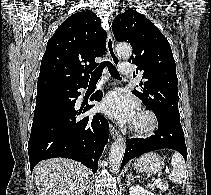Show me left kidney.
<instances>
[{
	"mask_svg": "<svg viewBox=\"0 0 211 195\" xmlns=\"http://www.w3.org/2000/svg\"><path fill=\"white\" fill-rule=\"evenodd\" d=\"M129 195H155V194L149 192L147 189H144L140 185H135L129 188Z\"/></svg>",
	"mask_w": 211,
	"mask_h": 195,
	"instance_id": "left-kidney-1",
	"label": "left kidney"
}]
</instances>
